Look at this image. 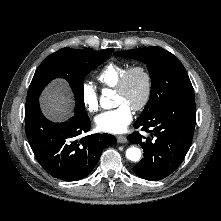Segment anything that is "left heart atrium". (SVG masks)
Listing matches in <instances>:
<instances>
[{
  "instance_id": "1",
  "label": "left heart atrium",
  "mask_w": 221,
  "mask_h": 221,
  "mask_svg": "<svg viewBox=\"0 0 221 221\" xmlns=\"http://www.w3.org/2000/svg\"><path fill=\"white\" fill-rule=\"evenodd\" d=\"M132 118V108L122 103L115 109L99 114L95 118V125L99 131L117 134L123 132L127 128Z\"/></svg>"
}]
</instances>
